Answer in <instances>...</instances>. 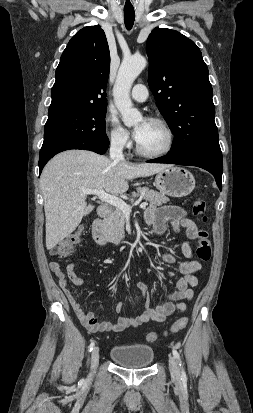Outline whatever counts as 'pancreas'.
<instances>
[{"label": "pancreas", "instance_id": "pancreas-1", "mask_svg": "<svg viewBox=\"0 0 253 413\" xmlns=\"http://www.w3.org/2000/svg\"><path fill=\"white\" fill-rule=\"evenodd\" d=\"M138 193H132L131 202L139 195L147 200L151 206H161L169 202L164 194L156 192L147 187L138 188ZM125 214L116 208L112 215L103 221V232L108 242L119 245L125 237Z\"/></svg>", "mask_w": 253, "mask_h": 413}]
</instances>
